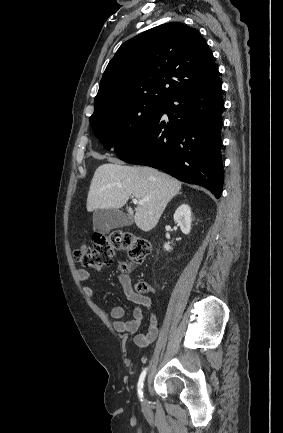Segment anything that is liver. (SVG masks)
Returning a JSON list of instances; mask_svg holds the SVG:
<instances>
[{"instance_id": "1", "label": "liver", "mask_w": 283, "mask_h": 433, "mask_svg": "<svg viewBox=\"0 0 283 433\" xmlns=\"http://www.w3.org/2000/svg\"><path fill=\"white\" fill-rule=\"evenodd\" d=\"M180 188V180L156 168L108 162L96 168L86 206L91 212L96 208H121L130 196L145 200L144 204H137L135 214L131 206L126 208L138 229L148 233L156 227L165 206Z\"/></svg>"}]
</instances>
